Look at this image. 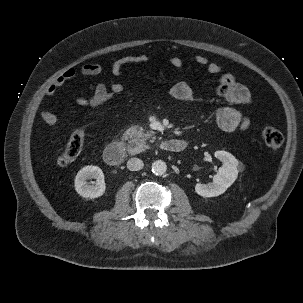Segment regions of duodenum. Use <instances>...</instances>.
<instances>
[{
	"label": "duodenum",
	"mask_w": 303,
	"mask_h": 303,
	"mask_svg": "<svg viewBox=\"0 0 303 303\" xmlns=\"http://www.w3.org/2000/svg\"><path fill=\"white\" fill-rule=\"evenodd\" d=\"M187 143L181 139H167L161 142L160 148L169 153H179L186 148ZM125 157V145L121 141H114L104 150V160L111 166L119 165Z\"/></svg>",
	"instance_id": "410a0bca"
}]
</instances>
